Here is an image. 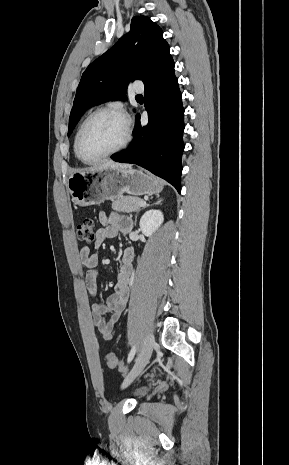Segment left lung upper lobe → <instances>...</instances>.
Listing matches in <instances>:
<instances>
[{"label": "left lung upper lobe", "mask_w": 289, "mask_h": 465, "mask_svg": "<svg viewBox=\"0 0 289 465\" xmlns=\"http://www.w3.org/2000/svg\"><path fill=\"white\" fill-rule=\"evenodd\" d=\"M174 61L162 29L147 16H135L130 31L84 71L69 117L68 135L91 106L125 99L130 81L147 86L171 73Z\"/></svg>", "instance_id": "1"}]
</instances>
